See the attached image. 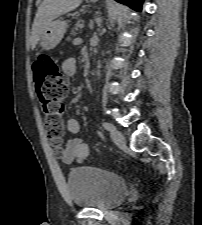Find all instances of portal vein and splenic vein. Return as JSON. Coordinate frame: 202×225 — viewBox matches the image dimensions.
I'll return each instance as SVG.
<instances>
[{"instance_id": "1", "label": "portal vein and splenic vein", "mask_w": 202, "mask_h": 225, "mask_svg": "<svg viewBox=\"0 0 202 225\" xmlns=\"http://www.w3.org/2000/svg\"><path fill=\"white\" fill-rule=\"evenodd\" d=\"M80 42H81V39H80V38H76V39L73 41L74 44H77V43H80Z\"/></svg>"}]
</instances>
